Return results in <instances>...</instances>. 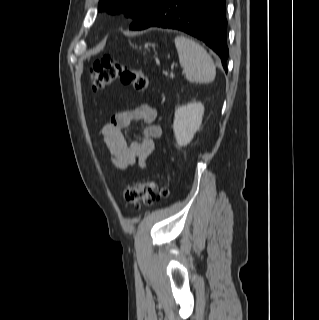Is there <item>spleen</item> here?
Listing matches in <instances>:
<instances>
[{
	"mask_svg": "<svg viewBox=\"0 0 319 320\" xmlns=\"http://www.w3.org/2000/svg\"><path fill=\"white\" fill-rule=\"evenodd\" d=\"M175 46L186 79L194 83H209L215 79L216 68L207 51L195 41L177 36Z\"/></svg>",
	"mask_w": 319,
	"mask_h": 320,
	"instance_id": "obj_1",
	"label": "spleen"
}]
</instances>
